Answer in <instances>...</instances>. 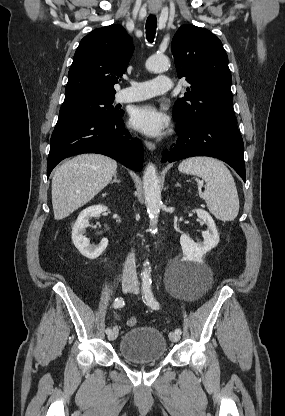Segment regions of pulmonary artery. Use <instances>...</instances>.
I'll use <instances>...</instances> for the list:
<instances>
[{"mask_svg": "<svg viewBox=\"0 0 285 416\" xmlns=\"http://www.w3.org/2000/svg\"><path fill=\"white\" fill-rule=\"evenodd\" d=\"M170 78L159 75L149 81H132L130 87H121L115 96L117 102H132L163 94L170 90ZM151 86V87H147Z\"/></svg>", "mask_w": 285, "mask_h": 416, "instance_id": "1", "label": "pulmonary artery"}]
</instances>
